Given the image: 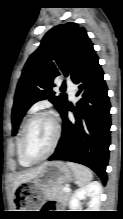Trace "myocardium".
<instances>
[{"mask_svg": "<svg viewBox=\"0 0 123 219\" xmlns=\"http://www.w3.org/2000/svg\"><path fill=\"white\" fill-rule=\"evenodd\" d=\"M42 116L47 117L53 123L54 138H53V141H52L48 151L43 156H41L39 158H31L25 150V140H26L27 132H28V129H29L31 123L36 118L42 117ZM60 136H61V127H60L58 120L54 117L53 114H51L48 111H37V112L33 113L25 122V124L23 126V130H22L21 138H20V152H21L23 159L31 164L39 163V162L47 159L54 152V150H55V148L60 140Z\"/></svg>", "mask_w": 123, "mask_h": 219, "instance_id": "1", "label": "myocardium"}]
</instances>
